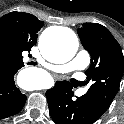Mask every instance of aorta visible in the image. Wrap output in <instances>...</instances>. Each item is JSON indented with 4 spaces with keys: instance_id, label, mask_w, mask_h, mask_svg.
<instances>
[{
    "instance_id": "1",
    "label": "aorta",
    "mask_w": 124,
    "mask_h": 124,
    "mask_svg": "<svg viewBox=\"0 0 124 124\" xmlns=\"http://www.w3.org/2000/svg\"><path fill=\"white\" fill-rule=\"evenodd\" d=\"M43 56L54 63H66L71 60L78 50V39L73 31L62 28L54 34L43 33L40 42ZM31 70H23L18 75L19 83L27 90H35L38 85L31 83Z\"/></svg>"
}]
</instances>
